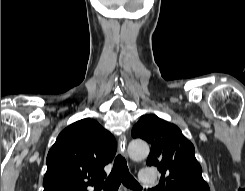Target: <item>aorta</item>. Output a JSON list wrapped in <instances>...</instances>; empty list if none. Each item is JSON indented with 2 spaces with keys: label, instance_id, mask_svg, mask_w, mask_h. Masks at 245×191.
Masks as SVG:
<instances>
[{
  "label": "aorta",
  "instance_id": "obj_1",
  "mask_svg": "<svg viewBox=\"0 0 245 191\" xmlns=\"http://www.w3.org/2000/svg\"><path fill=\"white\" fill-rule=\"evenodd\" d=\"M128 153L132 159H144L149 154V146L143 140H132L128 145Z\"/></svg>",
  "mask_w": 245,
  "mask_h": 191
}]
</instances>
